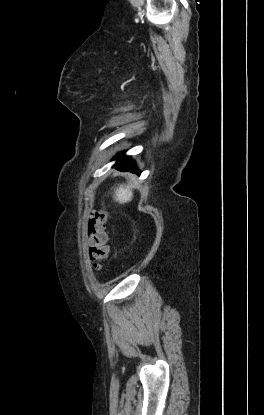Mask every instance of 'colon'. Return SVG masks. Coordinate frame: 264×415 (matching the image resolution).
Segmentation results:
<instances>
[{
    "label": "colon",
    "instance_id": "5ec220e1",
    "mask_svg": "<svg viewBox=\"0 0 264 415\" xmlns=\"http://www.w3.org/2000/svg\"><path fill=\"white\" fill-rule=\"evenodd\" d=\"M108 214L104 211H94L87 224L89 236L88 254L96 270L102 267V261L108 256L109 247L106 224Z\"/></svg>",
    "mask_w": 264,
    "mask_h": 415
}]
</instances>
